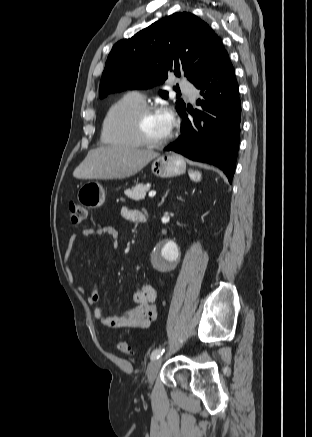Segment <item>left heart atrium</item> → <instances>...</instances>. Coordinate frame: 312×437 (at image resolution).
<instances>
[{
  "instance_id": "39dd6f15",
  "label": "left heart atrium",
  "mask_w": 312,
  "mask_h": 437,
  "mask_svg": "<svg viewBox=\"0 0 312 437\" xmlns=\"http://www.w3.org/2000/svg\"><path fill=\"white\" fill-rule=\"evenodd\" d=\"M160 114H161V117L164 121L166 130L168 132H170L172 127H173V122H174V117H173L172 112L170 110H164V111H161Z\"/></svg>"
}]
</instances>
